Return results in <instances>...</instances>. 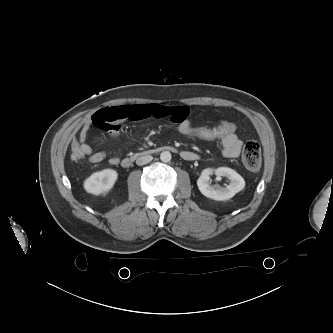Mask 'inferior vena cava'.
<instances>
[{
  "instance_id": "1",
  "label": "inferior vena cava",
  "mask_w": 333,
  "mask_h": 333,
  "mask_svg": "<svg viewBox=\"0 0 333 333\" xmlns=\"http://www.w3.org/2000/svg\"><path fill=\"white\" fill-rule=\"evenodd\" d=\"M152 159H153V157L151 155L141 156V157L137 158L136 164L139 166L145 165V164L149 163L150 161H152Z\"/></svg>"
}]
</instances>
